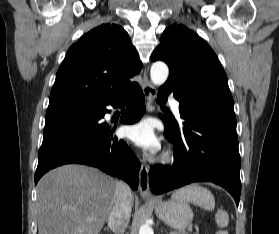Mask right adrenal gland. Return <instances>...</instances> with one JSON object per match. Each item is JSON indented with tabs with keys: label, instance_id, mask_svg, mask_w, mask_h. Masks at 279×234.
<instances>
[{
	"label": "right adrenal gland",
	"instance_id": "right-adrenal-gland-1",
	"mask_svg": "<svg viewBox=\"0 0 279 234\" xmlns=\"http://www.w3.org/2000/svg\"><path fill=\"white\" fill-rule=\"evenodd\" d=\"M104 230H107V231H109V230H108V228H105Z\"/></svg>",
	"mask_w": 279,
	"mask_h": 234
}]
</instances>
